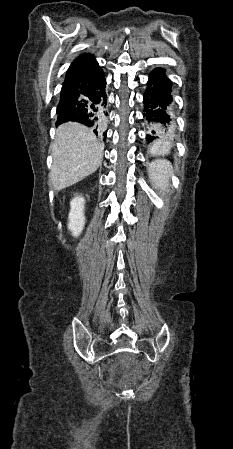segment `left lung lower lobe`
<instances>
[{
    "instance_id": "obj_1",
    "label": "left lung lower lobe",
    "mask_w": 233,
    "mask_h": 449,
    "mask_svg": "<svg viewBox=\"0 0 233 449\" xmlns=\"http://www.w3.org/2000/svg\"><path fill=\"white\" fill-rule=\"evenodd\" d=\"M172 82L165 75V70L155 68L149 75L147 89L143 96L144 113L152 134L165 133L170 129L169 107L172 103ZM157 136L146 135L147 141L158 139Z\"/></svg>"
}]
</instances>
